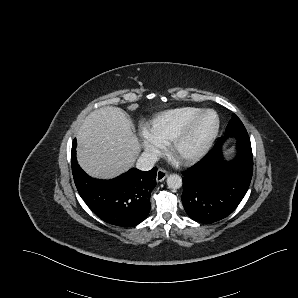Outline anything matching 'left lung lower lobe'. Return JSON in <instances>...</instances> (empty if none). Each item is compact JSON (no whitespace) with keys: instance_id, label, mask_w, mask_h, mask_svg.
<instances>
[{"instance_id":"0a47b994","label":"left lung lower lobe","mask_w":298,"mask_h":298,"mask_svg":"<svg viewBox=\"0 0 298 298\" xmlns=\"http://www.w3.org/2000/svg\"><path fill=\"white\" fill-rule=\"evenodd\" d=\"M237 138L238 154L231 162L222 156V144ZM253 173V156L246 129L226 132L211 151L183 172L184 209L193 220L209 224L227 217L243 199Z\"/></svg>"}]
</instances>
